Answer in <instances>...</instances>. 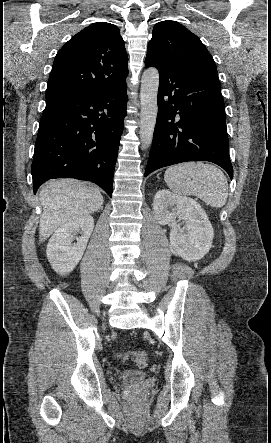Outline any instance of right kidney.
<instances>
[{"label": "right kidney", "mask_w": 271, "mask_h": 443, "mask_svg": "<svg viewBox=\"0 0 271 443\" xmlns=\"http://www.w3.org/2000/svg\"><path fill=\"white\" fill-rule=\"evenodd\" d=\"M94 229V220L90 214L74 218L72 222L60 225L47 243V259L53 269L65 275L76 267L87 245V241ZM80 233V235H79ZM76 243H72L73 239Z\"/></svg>", "instance_id": "ca27d5eb"}]
</instances>
